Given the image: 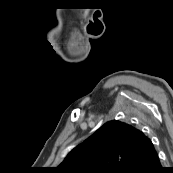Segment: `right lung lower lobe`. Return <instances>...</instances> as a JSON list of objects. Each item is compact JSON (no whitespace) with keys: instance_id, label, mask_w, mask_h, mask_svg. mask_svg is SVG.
Instances as JSON below:
<instances>
[{"instance_id":"right-lung-lower-lobe-1","label":"right lung lower lobe","mask_w":173,"mask_h":173,"mask_svg":"<svg viewBox=\"0 0 173 173\" xmlns=\"http://www.w3.org/2000/svg\"><path fill=\"white\" fill-rule=\"evenodd\" d=\"M123 173H163L156 150L135 160Z\"/></svg>"}]
</instances>
